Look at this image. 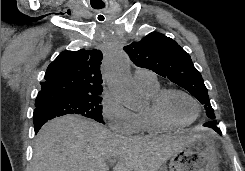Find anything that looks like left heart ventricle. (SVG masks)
<instances>
[{
  "label": "left heart ventricle",
  "instance_id": "left-heart-ventricle-1",
  "mask_svg": "<svg viewBox=\"0 0 245 171\" xmlns=\"http://www.w3.org/2000/svg\"><path fill=\"white\" fill-rule=\"evenodd\" d=\"M168 116L177 123H187L196 115V108L185 96L173 93L168 96L165 103Z\"/></svg>",
  "mask_w": 245,
  "mask_h": 171
}]
</instances>
